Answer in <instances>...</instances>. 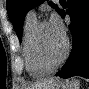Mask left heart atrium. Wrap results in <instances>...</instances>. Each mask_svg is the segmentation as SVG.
<instances>
[{"instance_id": "left-heart-atrium-1", "label": "left heart atrium", "mask_w": 89, "mask_h": 89, "mask_svg": "<svg viewBox=\"0 0 89 89\" xmlns=\"http://www.w3.org/2000/svg\"><path fill=\"white\" fill-rule=\"evenodd\" d=\"M49 24L52 26V28L58 35L64 38V27L58 16L53 15L50 19Z\"/></svg>"}]
</instances>
